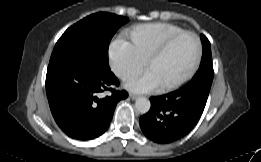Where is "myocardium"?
Listing matches in <instances>:
<instances>
[{"label": "myocardium", "instance_id": "1", "mask_svg": "<svg viewBox=\"0 0 261 162\" xmlns=\"http://www.w3.org/2000/svg\"><path fill=\"white\" fill-rule=\"evenodd\" d=\"M186 35L193 36L196 41L197 52H196L194 62L192 64L191 68L189 69V71L184 76H182L180 79L174 81L173 83L161 86V89L163 91L174 90V89L180 87L181 85H183L184 83H186L188 80H190L194 76V74L196 73V71L200 65L201 58H202V43H201L200 37L193 31L184 30V31L177 33V34L169 37L168 39H166L160 46H158L155 50H153L146 58V67H148L152 61H154L155 59L164 55L178 39H180L181 37L186 36Z\"/></svg>", "mask_w": 261, "mask_h": 162}]
</instances>
